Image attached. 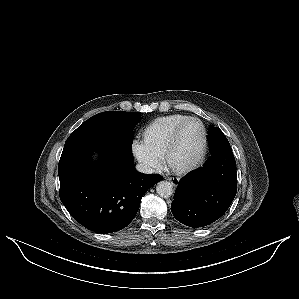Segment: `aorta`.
Here are the masks:
<instances>
[{"label":"aorta","instance_id":"1","mask_svg":"<svg viewBox=\"0 0 299 299\" xmlns=\"http://www.w3.org/2000/svg\"><path fill=\"white\" fill-rule=\"evenodd\" d=\"M156 192L163 198H168L173 193V186L168 181H160L156 186Z\"/></svg>","mask_w":299,"mask_h":299}]
</instances>
